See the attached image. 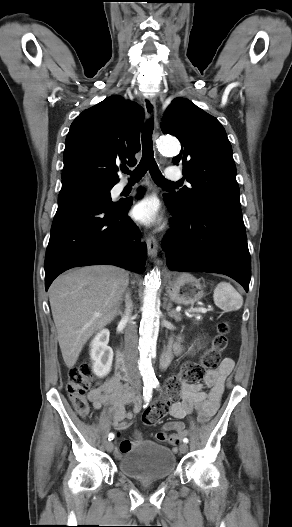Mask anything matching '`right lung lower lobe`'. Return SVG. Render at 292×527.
Returning <instances> with one entry per match:
<instances>
[{
    "instance_id": "right-lung-lower-lobe-1",
    "label": "right lung lower lobe",
    "mask_w": 292,
    "mask_h": 527,
    "mask_svg": "<svg viewBox=\"0 0 292 527\" xmlns=\"http://www.w3.org/2000/svg\"><path fill=\"white\" fill-rule=\"evenodd\" d=\"M132 201L108 203L90 194L59 195L45 257V287L78 266L111 264L141 273L146 244L127 212Z\"/></svg>"
}]
</instances>
